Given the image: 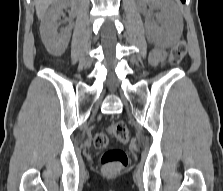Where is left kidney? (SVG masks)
<instances>
[{
    "label": "left kidney",
    "mask_w": 223,
    "mask_h": 191,
    "mask_svg": "<svg viewBox=\"0 0 223 191\" xmlns=\"http://www.w3.org/2000/svg\"><path fill=\"white\" fill-rule=\"evenodd\" d=\"M141 12L146 17V29L151 40L163 46H171L179 39L183 19L172 0H138ZM149 7V9H148ZM159 9L157 22L153 19V10Z\"/></svg>",
    "instance_id": "left-kidney-1"
}]
</instances>
